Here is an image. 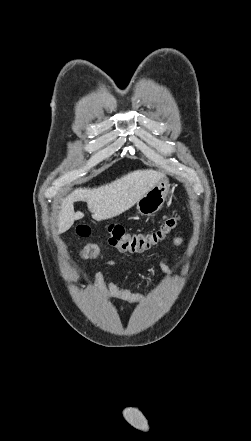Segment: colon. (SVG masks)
Instances as JSON below:
<instances>
[{"label":"colon","instance_id":"1","mask_svg":"<svg viewBox=\"0 0 251 441\" xmlns=\"http://www.w3.org/2000/svg\"><path fill=\"white\" fill-rule=\"evenodd\" d=\"M179 222L180 216L175 215L166 218L156 229L138 232L128 231L119 224H110L106 228V239L110 246L121 252L141 253L166 240ZM76 231L81 237H88L92 232L87 224L79 225Z\"/></svg>","mask_w":251,"mask_h":441}]
</instances>
